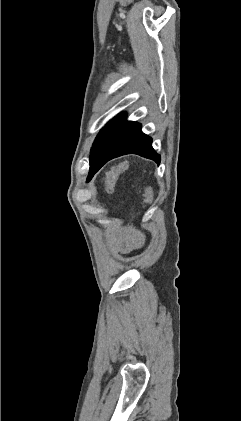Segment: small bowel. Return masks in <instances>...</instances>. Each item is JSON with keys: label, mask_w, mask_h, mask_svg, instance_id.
Segmentation results:
<instances>
[{"label": "small bowel", "mask_w": 241, "mask_h": 421, "mask_svg": "<svg viewBox=\"0 0 241 421\" xmlns=\"http://www.w3.org/2000/svg\"><path fill=\"white\" fill-rule=\"evenodd\" d=\"M115 243L118 251L126 252L141 245L142 236L132 229H126L115 236Z\"/></svg>", "instance_id": "1"}]
</instances>
